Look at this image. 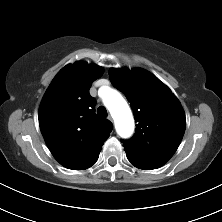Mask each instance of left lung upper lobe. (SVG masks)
Here are the masks:
<instances>
[{
	"label": "left lung upper lobe",
	"mask_w": 222,
	"mask_h": 222,
	"mask_svg": "<svg viewBox=\"0 0 222 222\" xmlns=\"http://www.w3.org/2000/svg\"><path fill=\"white\" fill-rule=\"evenodd\" d=\"M109 78L127 97L137 122L134 136L122 140L128 160L144 170L161 167L175 153L185 132L179 100L158 78L140 68H112Z\"/></svg>",
	"instance_id": "1"
}]
</instances>
